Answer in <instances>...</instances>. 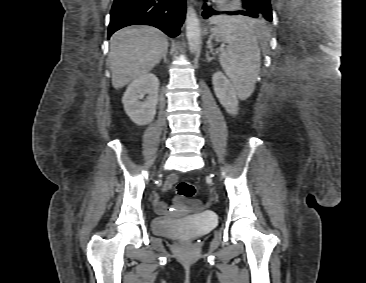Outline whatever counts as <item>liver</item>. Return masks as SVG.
Masks as SVG:
<instances>
[{
    "mask_svg": "<svg viewBox=\"0 0 366 283\" xmlns=\"http://www.w3.org/2000/svg\"><path fill=\"white\" fill-rule=\"evenodd\" d=\"M168 49L163 32L149 25H134L116 31L110 40L112 85L121 89L150 72Z\"/></svg>",
    "mask_w": 366,
    "mask_h": 283,
    "instance_id": "liver-1",
    "label": "liver"
}]
</instances>
